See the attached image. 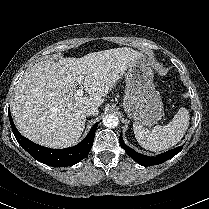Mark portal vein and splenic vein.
I'll list each match as a JSON object with an SVG mask.
<instances>
[{"mask_svg":"<svg viewBox=\"0 0 209 209\" xmlns=\"http://www.w3.org/2000/svg\"><path fill=\"white\" fill-rule=\"evenodd\" d=\"M77 82H78L79 85H81V87H80V89L76 90L75 94L77 96H83V94H84L83 87H82L83 77L79 76L78 79H77Z\"/></svg>","mask_w":209,"mask_h":209,"instance_id":"18ae733b","label":"portal vein and splenic vein"}]
</instances>
